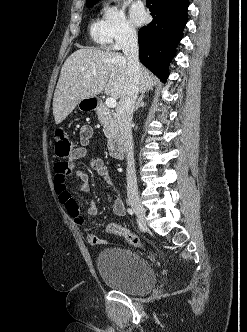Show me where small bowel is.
I'll use <instances>...</instances> for the list:
<instances>
[{"label": "small bowel", "mask_w": 247, "mask_h": 332, "mask_svg": "<svg viewBox=\"0 0 247 332\" xmlns=\"http://www.w3.org/2000/svg\"><path fill=\"white\" fill-rule=\"evenodd\" d=\"M91 135L92 130L90 127H82L80 130V147H78L74 154L66 161H61L55 164L54 189L59 201L66 208L68 214L73 218L74 222L79 227L85 229L86 240L88 243L91 245H102L106 243V240L96 236L87 228L85 217L80 213L78 202L68 189L69 176L71 174H75L79 181V190L84 193L89 192V175L86 172L77 169V165L80 159L90 155L88 147ZM90 167L116 191L118 190L115 181L109 174L108 168L101 157L90 155ZM113 212L118 218H121L125 215V204L119 195L113 202ZM97 213V204L94 201L90 202L87 208V214L89 216H95Z\"/></svg>", "instance_id": "obj_1"}]
</instances>
